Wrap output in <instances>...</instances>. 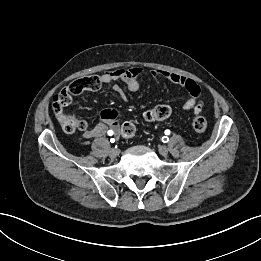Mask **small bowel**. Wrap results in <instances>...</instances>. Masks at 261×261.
<instances>
[{
	"mask_svg": "<svg viewBox=\"0 0 261 261\" xmlns=\"http://www.w3.org/2000/svg\"><path fill=\"white\" fill-rule=\"evenodd\" d=\"M142 73L140 67H129L126 69H117L113 71H107L101 75L89 77L91 78L92 85L86 90H98L104 85L113 84L114 91L121 97H124L123 89L116 84L122 82L126 85L128 90L135 92L139 89L140 84L138 77ZM152 77L155 81H159L162 78L168 79L169 81L182 86L189 93V97L182 103V108L186 111H192L194 114H198L202 110V102L199 99L200 88L195 81L178 75L176 73L164 71V70H153L151 72ZM113 114H118L114 117ZM102 122L95 125L91 129L87 130L83 134L85 139H93L104 135L109 130L117 131L119 128V113L114 109H105L101 113Z\"/></svg>",
	"mask_w": 261,
	"mask_h": 261,
	"instance_id": "1",
	"label": "small bowel"
}]
</instances>
